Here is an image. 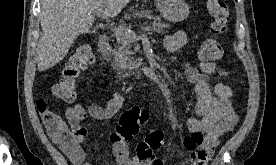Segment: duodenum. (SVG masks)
I'll use <instances>...</instances> for the list:
<instances>
[{
  "label": "duodenum",
  "mask_w": 276,
  "mask_h": 165,
  "mask_svg": "<svg viewBox=\"0 0 276 165\" xmlns=\"http://www.w3.org/2000/svg\"><path fill=\"white\" fill-rule=\"evenodd\" d=\"M109 47V41L106 35H100L97 41V48L98 51L101 53H106ZM135 76H141L143 74V71L140 69H137L132 72Z\"/></svg>",
  "instance_id": "1"
}]
</instances>
